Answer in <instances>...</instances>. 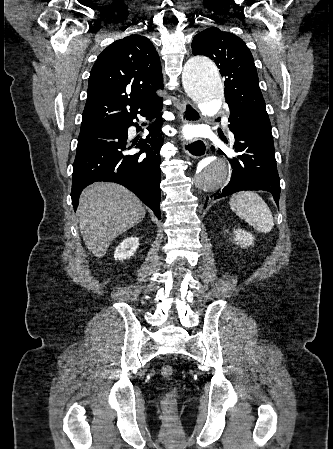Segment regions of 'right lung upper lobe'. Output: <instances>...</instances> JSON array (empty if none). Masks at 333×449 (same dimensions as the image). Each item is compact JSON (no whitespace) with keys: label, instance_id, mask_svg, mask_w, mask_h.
<instances>
[{"label":"right lung upper lobe","instance_id":"1","mask_svg":"<svg viewBox=\"0 0 333 449\" xmlns=\"http://www.w3.org/2000/svg\"><path fill=\"white\" fill-rule=\"evenodd\" d=\"M159 89H163V75L152 42L142 35L113 42L90 72L81 131L127 119L158 100Z\"/></svg>","mask_w":333,"mask_h":449}]
</instances>
